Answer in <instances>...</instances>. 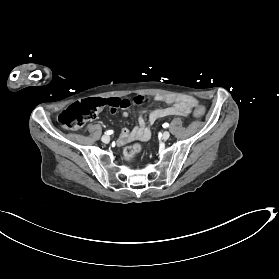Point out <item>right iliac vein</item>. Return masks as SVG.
I'll list each match as a JSON object with an SVG mask.
<instances>
[{"label": "right iliac vein", "mask_w": 279, "mask_h": 279, "mask_svg": "<svg viewBox=\"0 0 279 279\" xmlns=\"http://www.w3.org/2000/svg\"><path fill=\"white\" fill-rule=\"evenodd\" d=\"M101 140H102L103 143H109L110 142V136L103 135Z\"/></svg>", "instance_id": "1"}]
</instances>
